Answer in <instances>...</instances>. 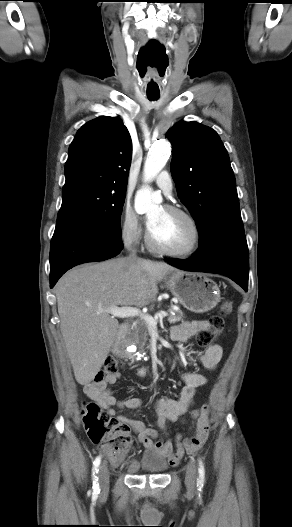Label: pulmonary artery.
Returning <instances> with one entry per match:
<instances>
[{
  "label": "pulmonary artery",
  "mask_w": 292,
  "mask_h": 527,
  "mask_svg": "<svg viewBox=\"0 0 292 527\" xmlns=\"http://www.w3.org/2000/svg\"><path fill=\"white\" fill-rule=\"evenodd\" d=\"M156 185L166 194H170L173 189V182L167 171H162L155 178Z\"/></svg>",
  "instance_id": "1"
}]
</instances>
